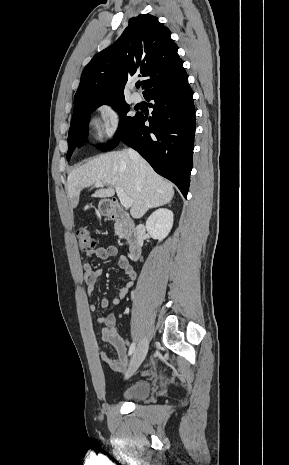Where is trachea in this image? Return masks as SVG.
I'll return each mask as SVG.
<instances>
[{
    "label": "trachea",
    "instance_id": "3493384b",
    "mask_svg": "<svg viewBox=\"0 0 289 465\" xmlns=\"http://www.w3.org/2000/svg\"><path fill=\"white\" fill-rule=\"evenodd\" d=\"M140 85H141V83H140V82L136 83V87H137V88H139V87H140Z\"/></svg>",
    "mask_w": 289,
    "mask_h": 465
}]
</instances>
